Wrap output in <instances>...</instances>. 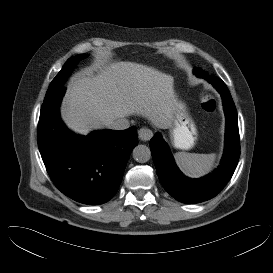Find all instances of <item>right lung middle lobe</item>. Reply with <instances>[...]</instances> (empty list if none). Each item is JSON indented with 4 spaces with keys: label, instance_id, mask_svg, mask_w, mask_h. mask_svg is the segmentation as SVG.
Masks as SVG:
<instances>
[{
    "label": "right lung middle lobe",
    "instance_id": "1",
    "mask_svg": "<svg viewBox=\"0 0 273 273\" xmlns=\"http://www.w3.org/2000/svg\"><path fill=\"white\" fill-rule=\"evenodd\" d=\"M83 57L84 56H82V55H77V56L71 57L67 60V62L64 64L61 71L56 75V77L53 79V81L49 85V89L46 93L44 101L49 99L55 92H57L58 90H60L64 86L68 76L71 75L74 68L76 67V64Z\"/></svg>",
    "mask_w": 273,
    "mask_h": 273
}]
</instances>
